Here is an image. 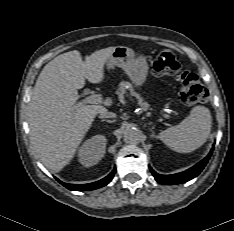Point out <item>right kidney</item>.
<instances>
[{
	"instance_id": "obj_1",
	"label": "right kidney",
	"mask_w": 234,
	"mask_h": 231,
	"mask_svg": "<svg viewBox=\"0 0 234 231\" xmlns=\"http://www.w3.org/2000/svg\"><path fill=\"white\" fill-rule=\"evenodd\" d=\"M106 142L103 135H95L86 140L78 150L79 162L85 167L97 164L104 157Z\"/></svg>"
}]
</instances>
